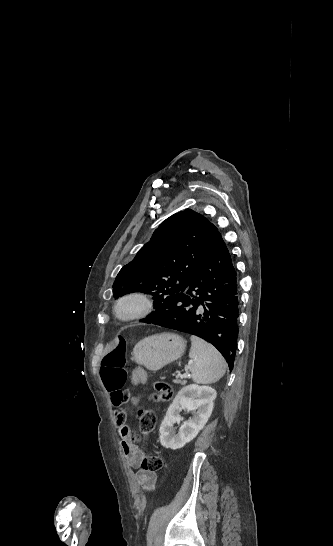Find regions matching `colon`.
I'll list each match as a JSON object with an SVG mask.
<instances>
[{
  "label": "colon",
  "mask_w": 333,
  "mask_h": 546,
  "mask_svg": "<svg viewBox=\"0 0 333 546\" xmlns=\"http://www.w3.org/2000/svg\"><path fill=\"white\" fill-rule=\"evenodd\" d=\"M101 380L109 392L122 390L127 379L126 370V341L122 336H118L111 342L108 351L103 356L100 368ZM152 399L155 401L168 400L172 397V389L169 384L156 381L153 384ZM129 394L124 393L122 401H127ZM132 403L136 406V416L139 430L142 434H148L153 431L156 424L154 412L145 405L140 397H131ZM139 435H135L134 440H139ZM141 467L145 471L157 472L164 467V458L158 453H148L143 458Z\"/></svg>",
  "instance_id": "obj_1"
}]
</instances>
